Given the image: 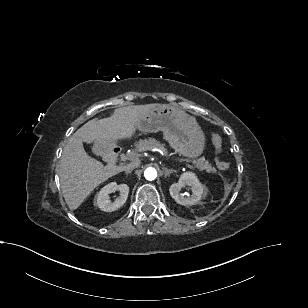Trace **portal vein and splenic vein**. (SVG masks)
Returning <instances> with one entry per match:
<instances>
[{"label": "portal vein and splenic vein", "instance_id": "18ae733b", "mask_svg": "<svg viewBox=\"0 0 308 308\" xmlns=\"http://www.w3.org/2000/svg\"><path fill=\"white\" fill-rule=\"evenodd\" d=\"M155 150H157V149H155ZM162 155L164 154L162 151L160 152Z\"/></svg>", "mask_w": 308, "mask_h": 308}]
</instances>
